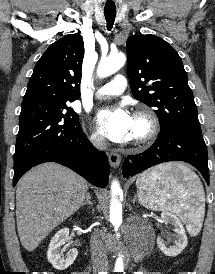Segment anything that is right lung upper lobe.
<instances>
[{
	"label": "right lung upper lobe",
	"mask_w": 215,
	"mask_h": 274,
	"mask_svg": "<svg viewBox=\"0 0 215 274\" xmlns=\"http://www.w3.org/2000/svg\"><path fill=\"white\" fill-rule=\"evenodd\" d=\"M83 57L84 43L79 34L66 35L54 42L35 65L22 104L78 99Z\"/></svg>",
	"instance_id": "1"
}]
</instances>
